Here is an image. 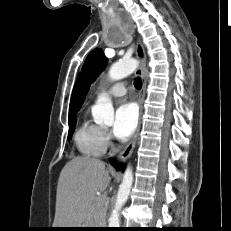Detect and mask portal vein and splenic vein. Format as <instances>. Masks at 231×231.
Returning a JSON list of instances; mask_svg holds the SVG:
<instances>
[{
	"label": "portal vein and splenic vein",
	"instance_id": "obj_1",
	"mask_svg": "<svg viewBox=\"0 0 231 231\" xmlns=\"http://www.w3.org/2000/svg\"><path fill=\"white\" fill-rule=\"evenodd\" d=\"M97 201H98L99 203H104V202H105V197L100 196V197L97 198Z\"/></svg>",
	"mask_w": 231,
	"mask_h": 231
}]
</instances>
